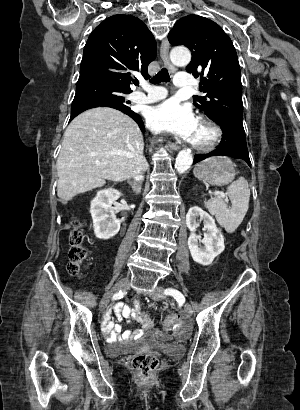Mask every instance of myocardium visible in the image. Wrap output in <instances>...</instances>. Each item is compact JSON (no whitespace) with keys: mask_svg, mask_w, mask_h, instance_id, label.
<instances>
[{"mask_svg":"<svg viewBox=\"0 0 300 410\" xmlns=\"http://www.w3.org/2000/svg\"><path fill=\"white\" fill-rule=\"evenodd\" d=\"M199 123L207 128L210 129L212 136L209 141L205 143H195L191 142V146L194 150L197 151H210L217 147L219 143L222 140L223 137V131L220 125L215 122L213 119L206 117V116H200L199 117Z\"/></svg>","mask_w":300,"mask_h":410,"instance_id":"f54148a6","label":"myocardium"}]
</instances>
